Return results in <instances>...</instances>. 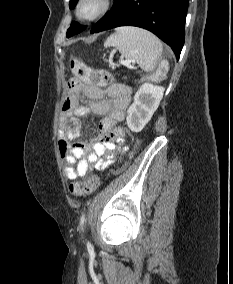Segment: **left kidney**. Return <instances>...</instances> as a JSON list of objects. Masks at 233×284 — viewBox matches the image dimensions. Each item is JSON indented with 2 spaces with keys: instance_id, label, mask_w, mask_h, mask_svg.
<instances>
[{
  "instance_id": "obj_1",
  "label": "left kidney",
  "mask_w": 233,
  "mask_h": 284,
  "mask_svg": "<svg viewBox=\"0 0 233 284\" xmlns=\"http://www.w3.org/2000/svg\"><path fill=\"white\" fill-rule=\"evenodd\" d=\"M164 88L144 83L134 96V102L128 109L127 125L132 132H140L150 121L163 97Z\"/></svg>"
}]
</instances>
